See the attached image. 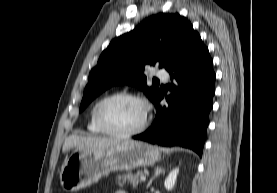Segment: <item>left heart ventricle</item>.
I'll return each instance as SVG.
<instances>
[{
  "label": "left heart ventricle",
  "mask_w": 277,
  "mask_h": 193,
  "mask_svg": "<svg viewBox=\"0 0 277 193\" xmlns=\"http://www.w3.org/2000/svg\"><path fill=\"white\" fill-rule=\"evenodd\" d=\"M106 125L115 131L136 128L144 116V106L137 101L122 99L108 103L102 112Z\"/></svg>",
  "instance_id": "obj_1"
}]
</instances>
